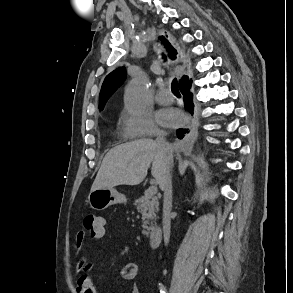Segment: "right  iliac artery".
Wrapping results in <instances>:
<instances>
[{
    "mask_svg": "<svg viewBox=\"0 0 293 293\" xmlns=\"http://www.w3.org/2000/svg\"><path fill=\"white\" fill-rule=\"evenodd\" d=\"M159 285H160V293H166L164 286L160 283Z\"/></svg>",
    "mask_w": 293,
    "mask_h": 293,
    "instance_id": "82829eb1",
    "label": "right iliac artery"
}]
</instances>
